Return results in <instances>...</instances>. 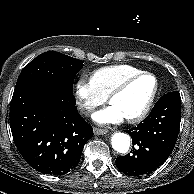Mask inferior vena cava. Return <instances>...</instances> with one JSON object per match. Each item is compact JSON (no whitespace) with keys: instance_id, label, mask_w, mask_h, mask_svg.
Listing matches in <instances>:
<instances>
[{"instance_id":"1","label":"inferior vena cava","mask_w":194,"mask_h":194,"mask_svg":"<svg viewBox=\"0 0 194 194\" xmlns=\"http://www.w3.org/2000/svg\"><path fill=\"white\" fill-rule=\"evenodd\" d=\"M80 111L85 115H89V113L92 111V108L82 106V107H80Z\"/></svg>"}]
</instances>
